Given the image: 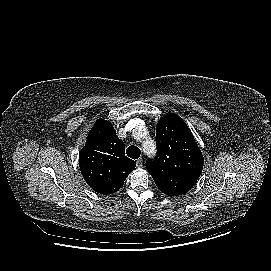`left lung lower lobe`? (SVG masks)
I'll return each instance as SVG.
<instances>
[{
    "label": "left lung lower lobe",
    "instance_id": "1",
    "mask_svg": "<svg viewBox=\"0 0 271 271\" xmlns=\"http://www.w3.org/2000/svg\"><path fill=\"white\" fill-rule=\"evenodd\" d=\"M176 184H177L175 191L176 196L184 194L193 187V184L183 180H178Z\"/></svg>",
    "mask_w": 271,
    "mask_h": 271
}]
</instances>
